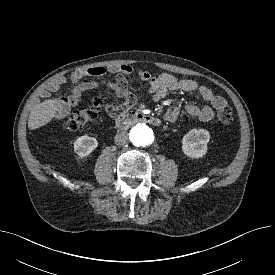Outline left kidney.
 <instances>
[{"label":"left kidney","instance_id":"obj_1","mask_svg":"<svg viewBox=\"0 0 275 275\" xmlns=\"http://www.w3.org/2000/svg\"><path fill=\"white\" fill-rule=\"evenodd\" d=\"M210 134L205 129H192L182 139V151L190 158H201L207 152Z\"/></svg>","mask_w":275,"mask_h":275}]
</instances>
